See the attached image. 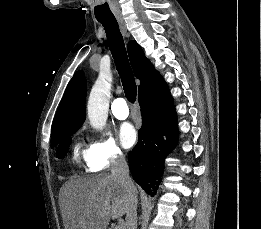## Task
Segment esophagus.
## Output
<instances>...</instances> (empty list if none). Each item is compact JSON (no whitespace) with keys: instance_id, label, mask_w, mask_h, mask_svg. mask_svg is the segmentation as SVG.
<instances>
[{"instance_id":"34e87169","label":"esophagus","mask_w":261,"mask_h":229,"mask_svg":"<svg viewBox=\"0 0 261 229\" xmlns=\"http://www.w3.org/2000/svg\"><path fill=\"white\" fill-rule=\"evenodd\" d=\"M118 25L120 27V31L122 32L123 35H126L127 33V27H126V22L124 20V17L122 15H115Z\"/></svg>"}]
</instances>
